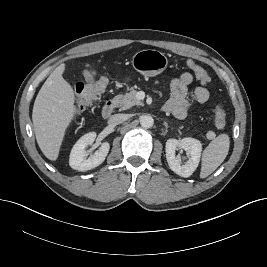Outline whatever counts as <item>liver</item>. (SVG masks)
<instances>
[{"label":"liver","instance_id":"obj_1","mask_svg":"<svg viewBox=\"0 0 267 267\" xmlns=\"http://www.w3.org/2000/svg\"><path fill=\"white\" fill-rule=\"evenodd\" d=\"M65 64L49 75L34 102L32 121L37 143L51 161L57 160L66 129L76 114L75 95L63 78Z\"/></svg>","mask_w":267,"mask_h":267}]
</instances>
